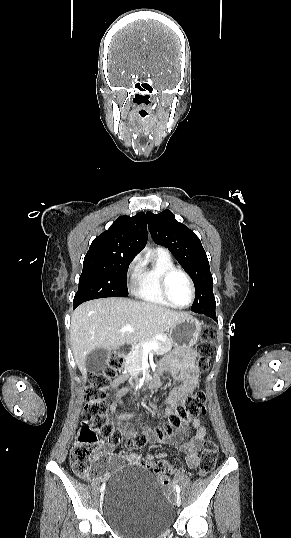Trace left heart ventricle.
<instances>
[{"instance_id": "obj_1", "label": "left heart ventricle", "mask_w": 291, "mask_h": 538, "mask_svg": "<svg viewBox=\"0 0 291 538\" xmlns=\"http://www.w3.org/2000/svg\"><path fill=\"white\" fill-rule=\"evenodd\" d=\"M171 299L178 305H185L190 300V288L186 278L180 274H174L168 284Z\"/></svg>"}]
</instances>
